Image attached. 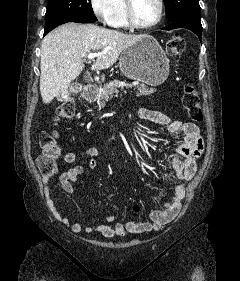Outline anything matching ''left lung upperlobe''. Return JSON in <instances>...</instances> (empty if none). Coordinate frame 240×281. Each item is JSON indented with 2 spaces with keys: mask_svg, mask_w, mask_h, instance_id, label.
<instances>
[{
  "mask_svg": "<svg viewBox=\"0 0 240 281\" xmlns=\"http://www.w3.org/2000/svg\"><path fill=\"white\" fill-rule=\"evenodd\" d=\"M164 3L169 22L185 16L200 18L199 0H164Z\"/></svg>",
  "mask_w": 240,
  "mask_h": 281,
  "instance_id": "obj_1",
  "label": "left lung upper lobe"
}]
</instances>
